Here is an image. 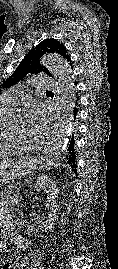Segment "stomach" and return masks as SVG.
<instances>
[{
    "label": "stomach",
    "mask_w": 118,
    "mask_h": 269,
    "mask_svg": "<svg viewBox=\"0 0 118 269\" xmlns=\"http://www.w3.org/2000/svg\"><path fill=\"white\" fill-rule=\"evenodd\" d=\"M35 168L36 164L32 158H25L4 167H0V188L5 183L28 176Z\"/></svg>",
    "instance_id": "stomach-1"
}]
</instances>
